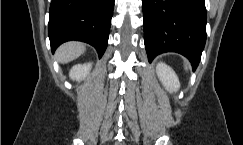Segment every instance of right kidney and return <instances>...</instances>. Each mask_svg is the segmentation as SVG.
<instances>
[{"label":"right kidney","mask_w":243,"mask_h":145,"mask_svg":"<svg viewBox=\"0 0 243 145\" xmlns=\"http://www.w3.org/2000/svg\"><path fill=\"white\" fill-rule=\"evenodd\" d=\"M92 68V63L78 64L71 68L69 76L72 80L81 81L86 78Z\"/></svg>","instance_id":"obj_1"}]
</instances>
